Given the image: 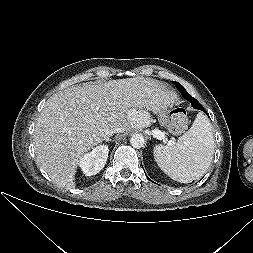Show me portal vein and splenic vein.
Returning <instances> with one entry per match:
<instances>
[{"label":"portal vein and splenic vein","mask_w":253,"mask_h":253,"mask_svg":"<svg viewBox=\"0 0 253 253\" xmlns=\"http://www.w3.org/2000/svg\"><path fill=\"white\" fill-rule=\"evenodd\" d=\"M152 133H153V136L155 138L159 139V140H164L165 139L164 133L161 132L160 130L155 129V130L152 131Z\"/></svg>","instance_id":"portal-vein-and-splenic-vein-1"}]
</instances>
